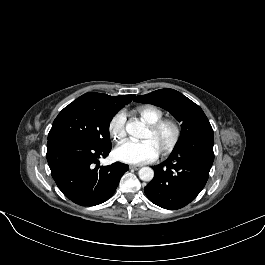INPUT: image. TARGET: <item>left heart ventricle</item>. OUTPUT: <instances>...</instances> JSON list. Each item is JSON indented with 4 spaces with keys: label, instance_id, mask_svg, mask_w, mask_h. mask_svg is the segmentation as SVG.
<instances>
[{
    "label": "left heart ventricle",
    "instance_id": "left-heart-ventricle-1",
    "mask_svg": "<svg viewBox=\"0 0 265 265\" xmlns=\"http://www.w3.org/2000/svg\"><path fill=\"white\" fill-rule=\"evenodd\" d=\"M173 135V130L170 126H165L158 133L152 134L148 129L146 130L143 140L150 141L156 150L159 152L163 147H165L171 140Z\"/></svg>",
    "mask_w": 265,
    "mask_h": 265
}]
</instances>
